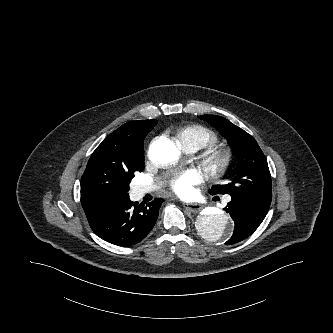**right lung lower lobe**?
Returning a JSON list of instances; mask_svg holds the SVG:
<instances>
[{"label": "right lung lower lobe", "instance_id": "1", "mask_svg": "<svg viewBox=\"0 0 333 333\" xmlns=\"http://www.w3.org/2000/svg\"><path fill=\"white\" fill-rule=\"evenodd\" d=\"M163 199L156 198L146 206L129 197L114 201L87 214L90 227L103 240L123 247L142 241L152 230Z\"/></svg>", "mask_w": 333, "mask_h": 333}]
</instances>
